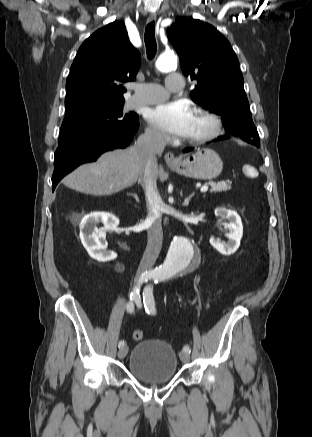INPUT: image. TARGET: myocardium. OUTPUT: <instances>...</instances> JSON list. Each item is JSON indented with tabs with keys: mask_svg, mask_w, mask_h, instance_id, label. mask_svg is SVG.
Instances as JSON below:
<instances>
[{
	"mask_svg": "<svg viewBox=\"0 0 312 437\" xmlns=\"http://www.w3.org/2000/svg\"><path fill=\"white\" fill-rule=\"evenodd\" d=\"M194 113L208 123V128L205 132L198 136L185 139L184 143L190 145H199L216 138L222 129V121L219 116L203 108L196 109Z\"/></svg>",
	"mask_w": 312,
	"mask_h": 437,
	"instance_id": "1",
	"label": "myocardium"
}]
</instances>
